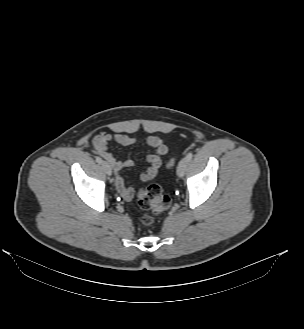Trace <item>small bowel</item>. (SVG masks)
I'll list each match as a JSON object with an SVG mask.
<instances>
[{
	"label": "small bowel",
	"mask_w": 304,
	"mask_h": 329,
	"mask_svg": "<svg viewBox=\"0 0 304 329\" xmlns=\"http://www.w3.org/2000/svg\"><path fill=\"white\" fill-rule=\"evenodd\" d=\"M111 141L122 146H129L142 141V139L123 133H99L92 139V146L95 152L99 154L114 171L117 190L123 198L130 199L133 195V189L126 183L122 176V171L126 168L132 167L134 163L131 158L118 160L115 155L108 150V144ZM144 141L155 149V153L149 155L147 158L149 163L148 169L139 175L141 181H148L153 179L157 174V171L162 164V157L168 152V148L162 138L158 136H148Z\"/></svg>",
	"instance_id": "1"
}]
</instances>
